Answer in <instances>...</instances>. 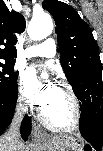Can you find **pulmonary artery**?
Instances as JSON below:
<instances>
[{
  "instance_id": "e3ab8cb5",
  "label": "pulmonary artery",
  "mask_w": 103,
  "mask_h": 151,
  "mask_svg": "<svg viewBox=\"0 0 103 151\" xmlns=\"http://www.w3.org/2000/svg\"><path fill=\"white\" fill-rule=\"evenodd\" d=\"M56 55V42L52 38H48L41 44L29 47L25 50V56L27 58L32 57H47L51 58Z\"/></svg>"
}]
</instances>
